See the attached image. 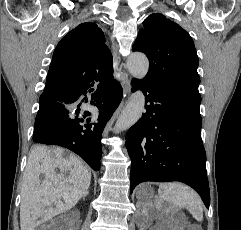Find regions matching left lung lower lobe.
<instances>
[{
    "instance_id": "0a47b994",
    "label": "left lung lower lobe",
    "mask_w": 241,
    "mask_h": 230,
    "mask_svg": "<svg viewBox=\"0 0 241 230\" xmlns=\"http://www.w3.org/2000/svg\"><path fill=\"white\" fill-rule=\"evenodd\" d=\"M141 86L146 113L126 135L132 160L130 192L141 182L180 181L195 189L209 208L206 153L201 139V100L153 84Z\"/></svg>"
}]
</instances>
